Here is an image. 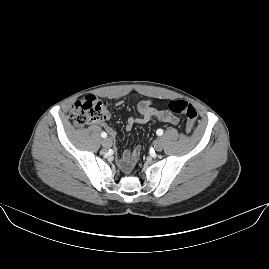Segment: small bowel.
Here are the masks:
<instances>
[{
	"mask_svg": "<svg viewBox=\"0 0 269 269\" xmlns=\"http://www.w3.org/2000/svg\"><path fill=\"white\" fill-rule=\"evenodd\" d=\"M137 110L139 112L138 117H131L127 121V129H131V127L135 124H144L151 120L158 122H166L172 125H177L179 123V118L169 111H158L154 107H152V103L149 100H143L138 103ZM110 113L105 110L103 113V117L101 120L97 122V125L103 128L111 137L116 136V131L112 128L108 121L110 119ZM142 147L137 145L135 150L132 152L130 157V153L125 151L121 154L119 163L120 165L125 164L127 169L133 168L137 164V159L140 156V152ZM130 161V162H129Z\"/></svg>",
	"mask_w": 269,
	"mask_h": 269,
	"instance_id": "obj_1",
	"label": "small bowel"
}]
</instances>
